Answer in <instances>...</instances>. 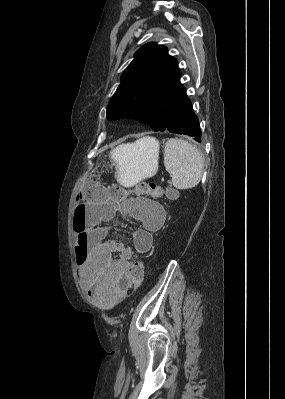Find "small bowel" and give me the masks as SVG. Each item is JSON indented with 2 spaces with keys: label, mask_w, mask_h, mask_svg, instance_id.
Instances as JSON below:
<instances>
[{
  "label": "small bowel",
  "mask_w": 285,
  "mask_h": 399,
  "mask_svg": "<svg viewBox=\"0 0 285 399\" xmlns=\"http://www.w3.org/2000/svg\"><path fill=\"white\" fill-rule=\"evenodd\" d=\"M108 209L113 215L123 214L114 207ZM90 211L98 218L104 216L103 208L92 206ZM130 214L140 224L130 237L133 247L117 239L104 237L101 232H88L80 227L85 219H73V226L76 227L75 257L81 261L79 277L86 290L106 311L123 299L134 285L130 276L134 252L144 254L150 249L153 235L159 232L165 220L163 209L154 203L140 204L132 208Z\"/></svg>",
  "instance_id": "c3829d8e"
}]
</instances>
